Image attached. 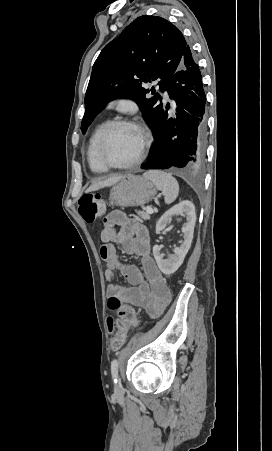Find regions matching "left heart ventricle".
<instances>
[{
	"label": "left heart ventricle",
	"mask_w": 272,
	"mask_h": 451,
	"mask_svg": "<svg viewBox=\"0 0 272 451\" xmlns=\"http://www.w3.org/2000/svg\"><path fill=\"white\" fill-rule=\"evenodd\" d=\"M135 136V132L129 128L114 127L109 132L103 149L105 164L109 167L123 165L132 154Z\"/></svg>",
	"instance_id": "b2bd125f"
}]
</instances>
